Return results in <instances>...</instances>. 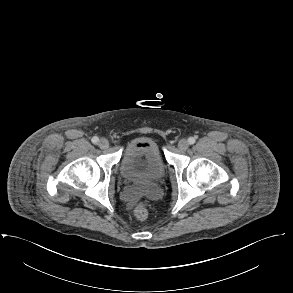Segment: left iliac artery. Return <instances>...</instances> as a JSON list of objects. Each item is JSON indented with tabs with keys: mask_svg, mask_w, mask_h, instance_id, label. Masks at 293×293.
I'll use <instances>...</instances> for the list:
<instances>
[{
	"mask_svg": "<svg viewBox=\"0 0 293 293\" xmlns=\"http://www.w3.org/2000/svg\"><path fill=\"white\" fill-rule=\"evenodd\" d=\"M188 142H189L190 144H194V143H195V138H194V137H190V138L188 139Z\"/></svg>",
	"mask_w": 293,
	"mask_h": 293,
	"instance_id": "obj_1",
	"label": "left iliac artery"
}]
</instances>
